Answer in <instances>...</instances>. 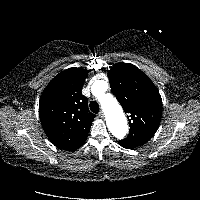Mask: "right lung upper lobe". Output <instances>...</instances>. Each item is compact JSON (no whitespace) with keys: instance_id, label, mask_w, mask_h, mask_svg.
Segmentation results:
<instances>
[{"instance_id":"1","label":"right lung upper lobe","mask_w":200,"mask_h":200,"mask_svg":"<svg viewBox=\"0 0 200 200\" xmlns=\"http://www.w3.org/2000/svg\"><path fill=\"white\" fill-rule=\"evenodd\" d=\"M88 71L69 68L55 76L39 101V117L50 141L60 149L75 151L85 142L95 115L81 89Z\"/></svg>"}]
</instances>
